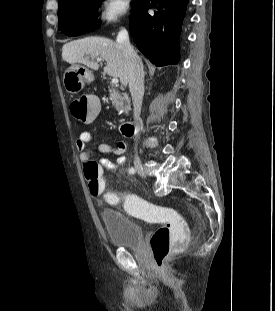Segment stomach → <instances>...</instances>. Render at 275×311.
<instances>
[{
	"instance_id": "obj_1",
	"label": "stomach",
	"mask_w": 275,
	"mask_h": 311,
	"mask_svg": "<svg viewBox=\"0 0 275 311\" xmlns=\"http://www.w3.org/2000/svg\"><path fill=\"white\" fill-rule=\"evenodd\" d=\"M93 81V75L86 67L74 64L63 74V87L71 94L79 93L85 84Z\"/></svg>"
}]
</instances>
